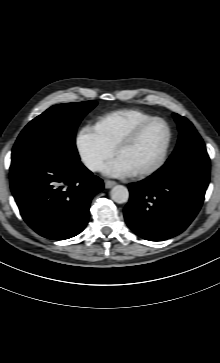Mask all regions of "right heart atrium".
<instances>
[{
	"label": "right heart atrium",
	"instance_id": "d8ad5b80",
	"mask_svg": "<svg viewBox=\"0 0 220 363\" xmlns=\"http://www.w3.org/2000/svg\"><path fill=\"white\" fill-rule=\"evenodd\" d=\"M75 146L81 162L92 172L98 171L114 152L93 126L79 129Z\"/></svg>",
	"mask_w": 220,
	"mask_h": 363
}]
</instances>
